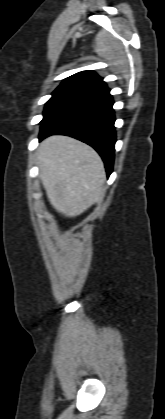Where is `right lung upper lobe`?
<instances>
[{
  "label": "right lung upper lobe",
  "mask_w": 165,
  "mask_h": 419,
  "mask_svg": "<svg viewBox=\"0 0 165 419\" xmlns=\"http://www.w3.org/2000/svg\"><path fill=\"white\" fill-rule=\"evenodd\" d=\"M105 88H107L105 82L95 72L82 71L66 78L57 89L88 96Z\"/></svg>",
  "instance_id": "cb5924a9"
}]
</instances>
